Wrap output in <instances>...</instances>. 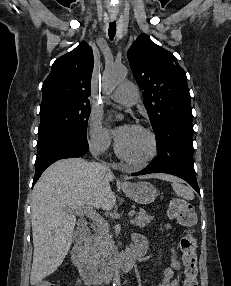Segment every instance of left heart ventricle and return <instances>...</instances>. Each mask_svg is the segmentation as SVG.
Masks as SVG:
<instances>
[{
  "label": "left heart ventricle",
  "instance_id": "1",
  "mask_svg": "<svg viewBox=\"0 0 231 286\" xmlns=\"http://www.w3.org/2000/svg\"><path fill=\"white\" fill-rule=\"evenodd\" d=\"M118 143L126 156L136 160L146 157L151 149L149 137L135 127H132L128 135Z\"/></svg>",
  "mask_w": 231,
  "mask_h": 286
}]
</instances>
